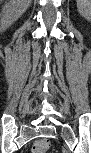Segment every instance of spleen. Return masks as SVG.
Listing matches in <instances>:
<instances>
[{"mask_svg": "<svg viewBox=\"0 0 91 153\" xmlns=\"http://www.w3.org/2000/svg\"><path fill=\"white\" fill-rule=\"evenodd\" d=\"M78 12L89 19L91 16V1L90 0H77Z\"/></svg>", "mask_w": 91, "mask_h": 153, "instance_id": "spleen-1", "label": "spleen"}]
</instances>
